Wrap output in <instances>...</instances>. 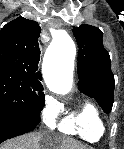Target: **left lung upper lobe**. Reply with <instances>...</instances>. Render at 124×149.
<instances>
[{
	"mask_svg": "<svg viewBox=\"0 0 124 149\" xmlns=\"http://www.w3.org/2000/svg\"><path fill=\"white\" fill-rule=\"evenodd\" d=\"M78 53V86L84 94L95 98L105 113L113 105L114 76L110 56L103 46V32L91 25L73 28Z\"/></svg>",
	"mask_w": 124,
	"mask_h": 149,
	"instance_id": "obj_1",
	"label": "left lung upper lobe"
}]
</instances>
